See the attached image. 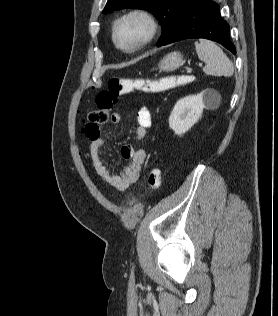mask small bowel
Returning <instances> with one entry per match:
<instances>
[{"label": "small bowel", "instance_id": "1", "mask_svg": "<svg viewBox=\"0 0 278 316\" xmlns=\"http://www.w3.org/2000/svg\"><path fill=\"white\" fill-rule=\"evenodd\" d=\"M110 121L113 124H119L122 121V114L114 112L110 116ZM137 128L136 138L142 140L146 137L152 123L151 112L148 107H141L136 114ZM85 132L90 143V156L93 167L97 175L109 186L120 190H127L132 184L136 183L141 175L142 167L146 160L144 150H137L131 145H125L121 149V155L125 159L130 160V164L123 170L121 174H115L104 162L101 157L102 150L105 146V139L100 134V129L95 134Z\"/></svg>", "mask_w": 278, "mask_h": 316}]
</instances>
